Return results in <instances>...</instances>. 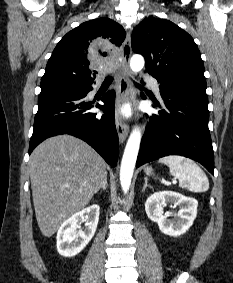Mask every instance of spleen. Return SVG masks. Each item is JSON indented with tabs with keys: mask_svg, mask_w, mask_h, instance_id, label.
<instances>
[{
	"mask_svg": "<svg viewBox=\"0 0 233 283\" xmlns=\"http://www.w3.org/2000/svg\"><path fill=\"white\" fill-rule=\"evenodd\" d=\"M158 162L169 167L170 174L179 180L181 188H187L196 193L209 189V180L206 174L191 159L170 155L160 158Z\"/></svg>",
	"mask_w": 233,
	"mask_h": 283,
	"instance_id": "1",
	"label": "spleen"
}]
</instances>
